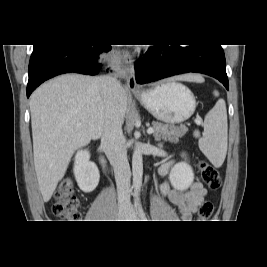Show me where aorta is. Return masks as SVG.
I'll list each match as a JSON object with an SVG mask.
<instances>
[{
  "instance_id": "obj_1",
  "label": "aorta",
  "mask_w": 267,
  "mask_h": 267,
  "mask_svg": "<svg viewBox=\"0 0 267 267\" xmlns=\"http://www.w3.org/2000/svg\"><path fill=\"white\" fill-rule=\"evenodd\" d=\"M132 173H133V186L135 189V196L138 197L143 176V159L142 153L137 146L133 152L132 156Z\"/></svg>"
}]
</instances>
